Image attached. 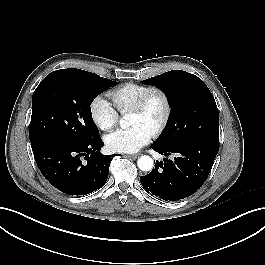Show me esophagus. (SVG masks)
Instances as JSON below:
<instances>
[{
	"mask_svg": "<svg viewBox=\"0 0 265 265\" xmlns=\"http://www.w3.org/2000/svg\"><path fill=\"white\" fill-rule=\"evenodd\" d=\"M126 156L131 159H137L139 157V154H132V155H126Z\"/></svg>",
	"mask_w": 265,
	"mask_h": 265,
	"instance_id": "esophagus-1",
	"label": "esophagus"
}]
</instances>
